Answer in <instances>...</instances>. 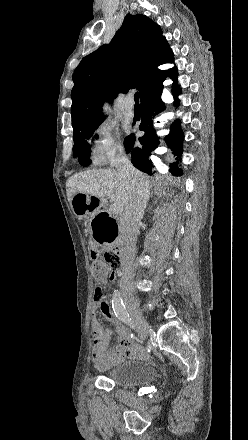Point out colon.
<instances>
[{
	"label": "colon",
	"mask_w": 248,
	"mask_h": 440,
	"mask_svg": "<svg viewBox=\"0 0 248 440\" xmlns=\"http://www.w3.org/2000/svg\"><path fill=\"white\" fill-rule=\"evenodd\" d=\"M92 257V271L94 278L97 282L103 283L109 277V272L112 271V267H119L120 260L118 255L112 250L94 249L91 251ZM104 294L100 287H96L94 298L101 300Z\"/></svg>",
	"instance_id": "1"
}]
</instances>
